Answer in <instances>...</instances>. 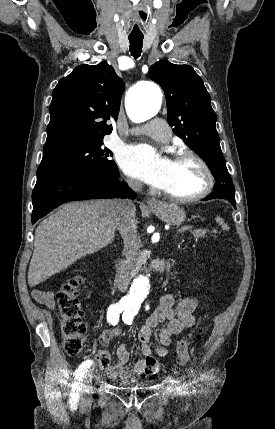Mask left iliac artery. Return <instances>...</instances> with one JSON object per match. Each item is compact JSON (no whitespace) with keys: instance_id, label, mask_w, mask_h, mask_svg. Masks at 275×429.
<instances>
[{"instance_id":"obj_1","label":"left iliac artery","mask_w":275,"mask_h":429,"mask_svg":"<svg viewBox=\"0 0 275 429\" xmlns=\"http://www.w3.org/2000/svg\"><path fill=\"white\" fill-rule=\"evenodd\" d=\"M137 312H138L137 307L127 306L122 315L124 323L131 325L133 318L137 314Z\"/></svg>"}]
</instances>
